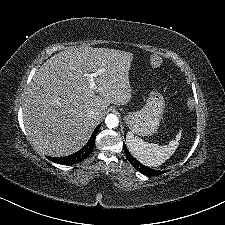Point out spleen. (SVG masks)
<instances>
[{"label":"spleen","instance_id":"3e777b00","mask_svg":"<svg viewBox=\"0 0 225 225\" xmlns=\"http://www.w3.org/2000/svg\"><path fill=\"white\" fill-rule=\"evenodd\" d=\"M180 135L176 140H172L168 145L159 146L154 143L144 142L128 132L126 135V145L130 153L142 164L148 167H158L170 158L176 151Z\"/></svg>","mask_w":225,"mask_h":225}]
</instances>
